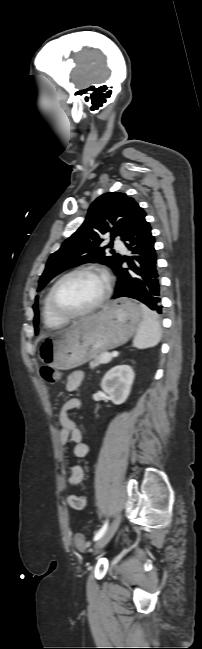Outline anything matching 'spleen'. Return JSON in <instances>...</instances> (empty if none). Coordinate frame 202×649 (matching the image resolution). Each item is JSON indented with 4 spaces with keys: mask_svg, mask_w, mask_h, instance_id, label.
Instances as JSON below:
<instances>
[{
    "mask_svg": "<svg viewBox=\"0 0 202 649\" xmlns=\"http://www.w3.org/2000/svg\"><path fill=\"white\" fill-rule=\"evenodd\" d=\"M142 323L133 341V346L138 349L153 347L161 338V328L156 315L146 305H141Z\"/></svg>",
    "mask_w": 202,
    "mask_h": 649,
    "instance_id": "1",
    "label": "spleen"
}]
</instances>
